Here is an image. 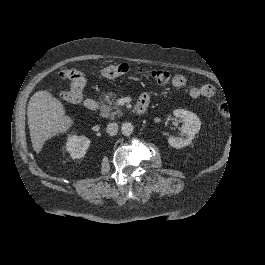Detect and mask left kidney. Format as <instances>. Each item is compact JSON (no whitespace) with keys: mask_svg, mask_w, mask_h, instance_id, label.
Wrapping results in <instances>:
<instances>
[{"mask_svg":"<svg viewBox=\"0 0 265 265\" xmlns=\"http://www.w3.org/2000/svg\"><path fill=\"white\" fill-rule=\"evenodd\" d=\"M173 115L182 118L184 121V124L182 125V137L171 136L168 138V143L174 148H182L192 142L195 134L200 130L201 121L195 113L184 109L174 110Z\"/></svg>","mask_w":265,"mask_h":265,"instance_id":"5707ae66","label":"left kidney"}]
</instances>
